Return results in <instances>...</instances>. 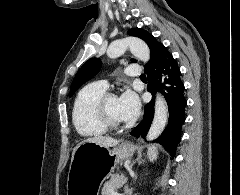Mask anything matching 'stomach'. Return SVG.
Returning <instances> with one entry per match:
<instances>
[{
	"label": "stomach",
	"mask_w": 240,
	"mask_h": 195,
	"mask_svg": "<svg viewBox=\"0 0 240 195\" xmlns=\"http://www.w3.org/2000/svg\"><path fill=\"white\" fill-rule=\"evenodd\" d=\"M140 149L129 141L117 147H104L84 141L75 149L67 177V195H99L100 187L119 161Z\"/></svg>",
	"instance_id": "1"
}]
</instances>
